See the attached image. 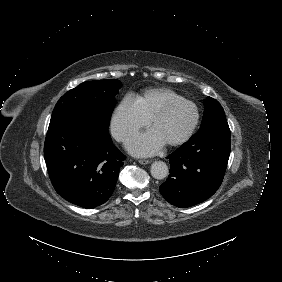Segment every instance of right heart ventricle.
<instances>
[{
	"label": "right heart ventricle",
	"mask_w": 282,
	"mask_h": 282,
	"mask_svg": "<svg viewBox=\"0 0 282 282\" xmlns=\"http://www.w3.org/2000/svg\"><path fill=\"white\" fill-rule=\"evenodd\" d=\"M182 99L179 95L167 88H152L137 96L136 101L145 115L151 119L165 100Z\"/></svg>",
	"instance_id": "1"
}]
</instances>
